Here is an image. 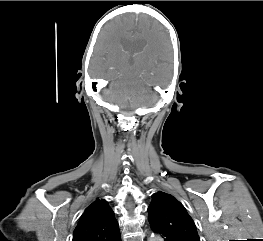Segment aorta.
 Listing matches in <instances>:
<instances>
[{"label":"aorta","mask_w":263,"mask_h":241,"mask_svg":"<svg viewBox=\"0 0 263 241\" xmlns=\"http://www.w3.org/2000/svg\"><path fill=\"white\" fill-rule=\"evenodd\" d=\"M148 241H163L162 238L158 235H152Z\"/></svg>","instance_id":"aorta-1"}]
</instances>
